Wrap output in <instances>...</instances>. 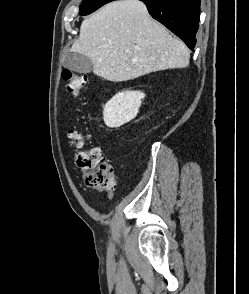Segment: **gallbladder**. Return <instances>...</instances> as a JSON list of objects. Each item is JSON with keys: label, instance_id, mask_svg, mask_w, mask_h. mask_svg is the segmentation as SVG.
Returning <instances> with one entry per match:
<instances>
[{"label": "gallbladder", "instance_id": "obj_1", "mask_svg": "<svg viewBox=\"0 0 249 294\" xmlns=\"http://www.w3.org/2000/svg\"><path fill=\"white\" fill-rule=\"evenodd\" d=\"M63 66L68 70L78 73H90L93 70L91 60L77 52L68 53L63 61Z\"/></svg>", "mask_w": 249, "mask_h": 294}]
</instances>
